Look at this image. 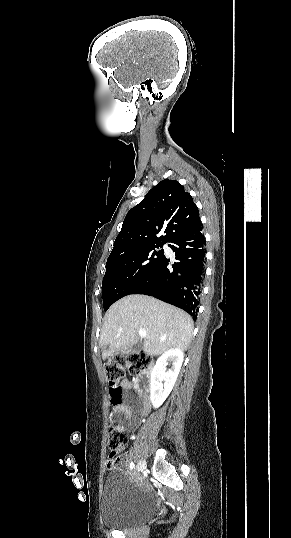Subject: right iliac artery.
I'll return each mask as SVG.
<instances>
[{
	"mask_svg": "<svg viewBox=\"0 0 291 538\" xmlns=\"http://www.w3.org/2000/svg\"><path fill=\"white\" fill-rule=\"evenodd\" d=\"M133 468H134V463L131 462V463H130V469L132 470Z\"/></svg>",
	"mask_w": 291,
	"mask_h": 538,
	"instance_id": "right-iliac-artery-1",
	"label": "right iliac artery"
}]
</instances>
